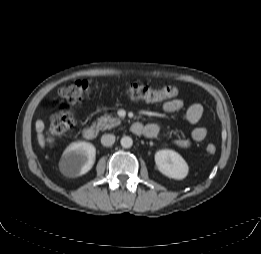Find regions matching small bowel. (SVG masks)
Returning a JSON list of instances; mask_svg holds the SVG:
<instances>
[{
  "mask_svg": "<svg viewBox=\"0 0 261 254\" xmlns=\"http://www.w3.org/2000/svg\"><path fill=\"white\" fill-rule=\"evenodd\" d=\"M183 101L182 99L176 98L169 101H166L163 104V108L166 112L173 113L181 110L183 108ZM204 108L199 103H194L190 105L186 111V120L191 124H199L203 118ZM142 125V124H141ZM143 133L142 135L148 138L156 137L159 132L160 128L158 125L150 123L146 125H142ZM207 135L206 127L202 125H198L193 128L189 133H184L180 135L176 140L175 143L177 146L181 148H188L193 142H200L204 140Z\"/></svg>",
  "mask_w": 261,
  "mask_h": 254,
  "instance_id": "c3829d8e",
  "label": "small bowel"
}]
</instances>
